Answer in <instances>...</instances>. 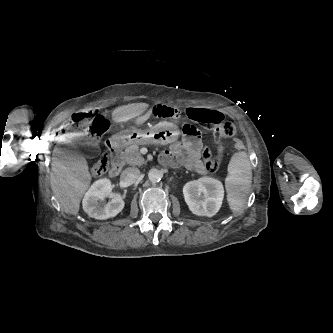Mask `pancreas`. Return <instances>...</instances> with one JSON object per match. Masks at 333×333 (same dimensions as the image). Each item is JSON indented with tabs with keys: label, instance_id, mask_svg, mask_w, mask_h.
<instances>
[{
	"label": "pancreas",
	"instance_id": "1",
	"mask_svg": "<svg viewBox=\"0 0 333 333\" xmlns=\"http://www.w3.org/2000/svg\"><path fill=\"white\" fill-rule=\"evenodd\" d=\"M122 162L132 166L144 164V158L139 151V145L133 144L125 149L122 155Z\"/></svg>",
	"mask_w": 333,
	"mask_h": 333
}]
</instances>
